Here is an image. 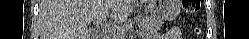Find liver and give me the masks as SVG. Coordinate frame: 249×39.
Instances as JSON below:
<instances>
[{"label": "liver", "mask_w": 249, "mask_h": 39, "mask_svg": "<svg viewBox=\"0 0 249 39\" xmlns=\"http://www.w3.org/2000/svg\"><path fill=\"white\" fill-rule=\"evenodd\" d=\"M135 0H41L40 39H92L90 23L105 21L116 27L133 11ZM148 0H140V4ZM109 19V22H107Z\"/></svg>", "instance_id": "liver-1"}]
</instances>
